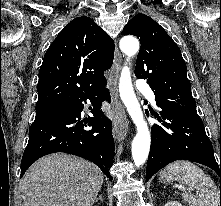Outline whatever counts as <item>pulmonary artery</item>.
Returning a JSON list of instances; mask_svg holds the SVG:
<instances>
[{
	"mask_svg": "<svg viewBox=\"0 0 221 206\" xmlns=\"http://www.w3.org/2000/svg\"><path fill=\"white\" fill-rule=\"evenodd\" d=\"M136 87L137 89H139L140 91H142L147 98L149 99V101L155 105V94L154 92L151 90L150 86L143 80H137L136 81Z\"/></svg>",
	"mask_w": 221,
	"mask_h": 206,
	"instance_id": "1",
	"label": "pulmonary artery"
}]
</instances>
